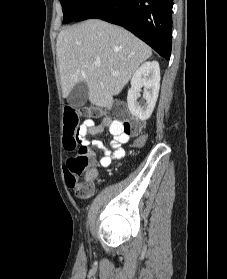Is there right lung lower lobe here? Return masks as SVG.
Instances as JSON below:
<instances>
[{
    "label": "right lung lower lobe",
    "instance_id": "right-lung-lower-lobe-1",
    "mask_svg": "<svg viewBox=\"0 0 227 279\" xmlns=\"http://www.w3.org/2000/svg\"><path fill=\"white\" fill-rule=\"evenodd\" d=\"M173 0H89L74 21L98 18L120 25L170 59Z\"/></svg>",
    "mask_w": 227,
    "mask_h": 279
}]
</instances>
